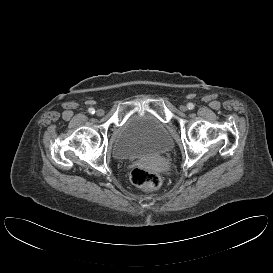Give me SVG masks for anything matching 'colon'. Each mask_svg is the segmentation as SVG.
Instances as JSON below:
<instances>
[{
	"instance_id": "5ec220e1",
	"label": "colon",
	"mask_w": 273,
	"mask_h": 273,
	"mask_svg": "<svg viewBox=\"0 0 273 273\" xmlns=\"http://www.w3.org/2000/svg\"><path fill=\"white\" fill-rule=\"evenodd\" d=\"M130 181L133 185L146 192L158 189L162 185V177L142 167L134 168L130 173Z\"/></svg>"
}]
</instances>
